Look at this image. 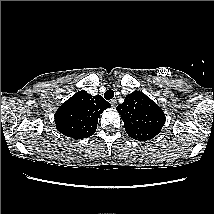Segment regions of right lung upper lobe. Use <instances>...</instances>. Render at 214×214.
<instances>
[{"label":"right lung upper lobe","instance_id":"obj_1","mask_svg":"<svg viewBox=\"0 0 214 214\" xmlns=\"http://www.w3.org/2000/svg\"><path fill=\"white\" fill-rule=\"evenodd\" d=\"M109 107L102 96L78 91L56 111V127L60 133L74 139L90 137L96 131L100 114Z\"/></svg>","mask_w":214,"mask_h":214}]
</instances>
